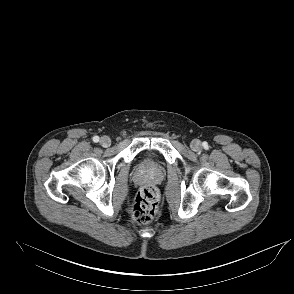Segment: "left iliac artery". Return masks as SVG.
Masks as SVG:
<instances>
[{
  "label": "left iliac artery",
  "instance_id": "44dca946",
  "mask_svg": "<svg viewBox=\"0 0 294 294\" xmlns=\"http://www.w3.org/2000/svg\"><path fill=\"white\" fill-rule=\"evenodd\" d=\"M203 146H204V148H206L207 147V143H204Z\"/></svg>",
  "mask_w": 294,
  "mask_h": 294
}]
</instances>
